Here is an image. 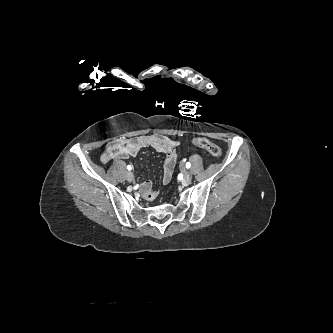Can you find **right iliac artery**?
I'll list each match as a JSON object with an SVG mask.
<instances>
[{
    "instance_id": "right-iliac-artery-1",
    "label": "right iliac artery",
    "mask_w": 333,
    "mask_h": 333,
    "mask_svg": "<svg viewBox=\"0 0 333 333\" xmlns=\"http://www.w3.org/2000/svg\"><path fill=\"white\" fill-rule=\"evenodd\" d=\"M127 169L130 171V170H132V166L131 165H128L127 166Z\"/></svg>"
}]
</instances>
